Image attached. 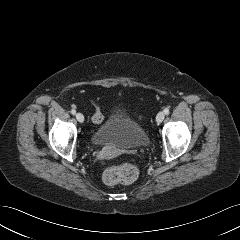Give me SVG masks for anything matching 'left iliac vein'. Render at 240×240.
I'll list each match as a JSON object with an SVG mask.
<instances>
[{"instance_id": "4c4485c4", "label": "left iliac vein", "mask_w": 240, "mask_h": 240, "mask_svg": "<svg viewBox=\"0 0 240 240\" xmlns=\"http://www.w3.org/2000/svg\"><path fill=\"white\" fill-rule=\"evenodd\" d=\"M165 113L164 112H159L156 116V122L159 124L164 120Z\"/></svg>"}]
</instances>
